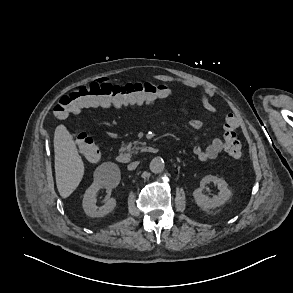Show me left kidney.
Listing matches in <instances>:
<instances>
[{
  "label": "left kidney",
  "instance_id": "1",
  "mask_svg": "<svg viewBox=\"0 0 293 293\" xmlns=\"http://www.w3.org/2000/svg\"><path fill=\"white\" fill-rule=\"evenodd\" d=\"M217 185L219 192L214 197L210 198L202 193L205 186L209 183ZM232 192L228 188L227 182L213 175H207L200 181V187L193 192V197L196 204L202 209H214L222 206L231 197Z\"/></svg>",
  "mask_w": 293,
  "mask_h": 293
}]
</instances>
